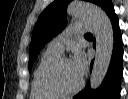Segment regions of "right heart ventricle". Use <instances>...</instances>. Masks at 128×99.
Masks as SVG:
<instances>
[{
    "mask_svg": "<svg viewBox=\"0 0 128 99\" xmlns=\"http://www.w3.org/2000/svg\"><path fill=\"white\" fill-rule=\"evenodd\" d=\"M60 54L46 50L40 57L33 73L30 96L32 99H55L58 96L46 91L41 84V75L43 71L56 61Z\"/></svg>",
    "mask_w": 128,
    "mask_h": 99,
    "instance_id": "e07e8e85",
    "label": "right heart ventricle"
}]
</instances>
